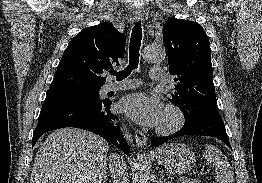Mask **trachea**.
Returning <instances> with one entry per match:
<instances>
[{
    "instance_id": "1",
    "label": "trachea",
    "mask_w": 262,
    "mask_h": 183,
    "mask_svg": "<svg viewBox=\"0 0 262 183\" xmlns=\"http://www.w3.org/2000/svg\"><path fill=\"white\" fill-rule=\"evenodd\" d=\"M141 40H142V27H141V23L138 22L135 23L130 38L129 65L122 71L116 72L115 70H111L109 72L111 75L116 76L117 81L123 80L124 78L130 75L132 70L138 68Z\"/></svg>"
}]
</instances>
